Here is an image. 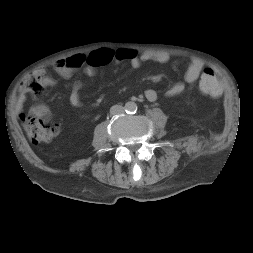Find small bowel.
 <instances>
[{"instance_id": "c3829d8e", "label": "small bowel", "mask_w": 253, "mask_h": 253, "mask_svg": "<svg viewBox=\"0 0 253 253\" xmlns=\"http://www.w3.org/2000/svg\"><path fill=\"white\" fill-rule=\"evenodd\" d=\"M169 56L165 53L143 52L139 54L132 49L101 48L94 50L87 55L78 54L67 59L60 60L56 64V71L65 78H71L77 71H81L85 76L92 78L96 75L98 68L106 66L110 63L128 61L131 69L137 70L144 62L166 63ZM204 64L199 58H193L184 73L183 81L176 82L166 91V96H175L182 93L187 84L194 83L202 73ZM85 87V83L77 81L73 84L70 94V104L73 108H81L82 101L80 92ZM145 98L153 102L157 99L158 94L154 89H147L144 92ZM32 113L44 120H50V111L44 106L34 107Z\"/></svg>"}]
</instances>
